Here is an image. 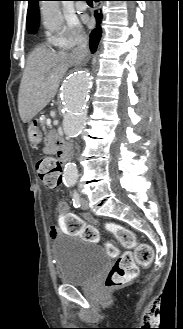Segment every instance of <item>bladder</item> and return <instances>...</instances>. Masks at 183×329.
Instances as JSON below:
<instances>
[{
	"mask_svg": "<svg viewBox=\"0 0 183 329\" xmlns=\"http://www.w3.org/2000/svg\"><path fill=\"white\" fill-rule=\"evenodd\" d=\"M52 255L57 264L58 280L75 286L90 284L108 269L110 263V257L101 246L74 234L56 236Z\"/></svg>",
	"mask_w": 183,
	"mask_h": 329,
	"instance_id": "31cf9c89",
	"label": "bladder"
}]
</instances>
